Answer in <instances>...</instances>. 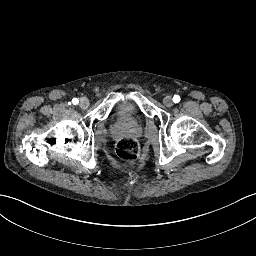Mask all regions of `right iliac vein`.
<instances>
[{"instance_id":"right-iliac-vein-1","label":"right iliac vein","mask_w":256,"mask_h":256,"mask_svg":"<svg viewBox=\"0 0 256 256\" xmlns=\"http://www.w3.org/2000/svg\"><path fill=\"white\" fill-rule=\"evenodd\" d=\"M88 106H89V100L85 97L81 98L80 99V107L82 109H86V108H88Z\"/></svg>"}]
</instances>
